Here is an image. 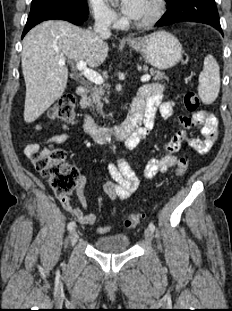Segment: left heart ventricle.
<instances>
[{"mask_svg":"<svg viewBox=\"0 0 232 311\" xmlns=\"http://www.w3.org/2000/svg\"><path fill=\"white\" fill-rule=\"evenodd\" d=\"M151 10H152V4L150 0H146L145 7H144L142 14L137 19H135V21H142L145 18H147L149 14L151 13Z\"/></svg>","mask_w":232,"mask_h":311,"instance_id":"b2bd125f","label":"left heart ventricle"}]
</instances>
